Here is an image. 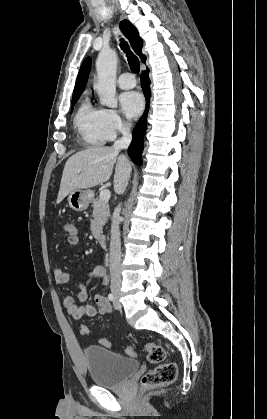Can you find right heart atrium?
Listing matches in <instances>:
<instances>
[{"label": "right heart atrium", "instance_id": "obj_1", "mask_svg": "<svg viewBox=\"0 0 267 419\" xmlns=\"http://www.w3.org/2000/svg\"><path fill=\"white\" fill-rule=\"evenodd\" d=\"M128 123L113 109H102V127L107 140L128 129Z\"/></svg>", "mask_w": 267, "mask_h": 419}]
</instances>
